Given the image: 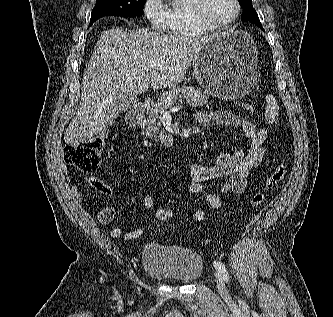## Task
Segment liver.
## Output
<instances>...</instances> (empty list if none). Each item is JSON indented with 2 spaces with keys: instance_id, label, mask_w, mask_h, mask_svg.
I'll return each instance as SVG.
<instances>
[{
  "instance_id": "6515ba94",
  "label": "liver",
  "mask_w": 333,
  "mask_h": 317,
  "mask_svg": "<svg viewBox=\"0 0 333 317\" xmlns=\"http://www.w3.org/2000/svg\"><path fill=\"white\" fill-rule=\"evenodd\" d=\"M215 35L186 37L122 28L103 32L84 73L81 101L64 141L76 146L106 130L118 117V96L180 83L202 46Z\"/></svg>"
}]
</instances>
